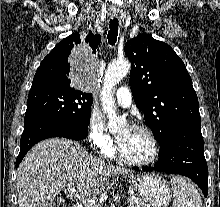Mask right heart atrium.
Here are the masks:
<instances>
[{
    "mask_svg": "<svg viewBox=\"0 0 220 207\" xmlns=\"http://www.w3.org/2000/svg\"><path fill=\"white\" fill-rule=\"evenodd\" d=\"M88 139L92 148L101 154L113 149L114 140L106 130L101 115L95 111L88 120Z\"/></svg>",
    "mask_w": 220,
    "mask_h": 207,
    "instance_id": "1",
    "label": "right heart atrium"
}]
</instances>
